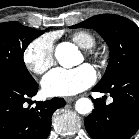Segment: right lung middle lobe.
I'll list each match as a JSON object with an SVG mask.
<instances>
[{"label":"right lung middle lobe","mask_w":139,"mask_h":139,"mask_svg":"<svg viewBox=\"0 0 139 139\" xmlns=\"http://www.w3.org/2000/svg\"><path fill=\"white\" fill-rule=\"evenodd\" d=\"M44 30H35L18 22L0 23V74H6L21 81H31L23 53Z\"/></svg>","instance_id":"right-lung-middle-lobe-1"}]
</instances>
